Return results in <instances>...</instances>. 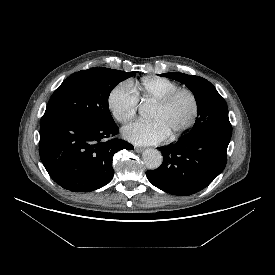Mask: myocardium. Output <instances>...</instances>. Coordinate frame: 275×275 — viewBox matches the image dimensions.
<instances>
[{
    "mask_svg": "<svg viewBox=\"0 0 275 275\" xmlns=\"http://www.w3.org/2000/svg\"><path fill=\"white\" fill-rule=\"evenodd\" d=\"M183 93L187 94L192 101V114L188 122L182 128L170 134L172 139L179 138L194 126L199 114V102H198L197 96L191 89L187 87H179L171 91L170 93H168L166 96H164L162 99H160L155 103V106L159 108H163V109L167 108L173 103V101L180 94H183Z\"/></svg>",
    "mask_w": 275,
    "mask_h": 275,
    "instance_id": "f54148a6",
    "label": "myocardium"
}]
</instances>
